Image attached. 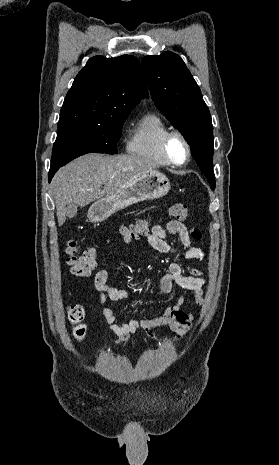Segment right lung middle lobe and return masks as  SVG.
Segmentation results:
<instances>
[{
    "instance_id": "1",
    "label": "right lung middle lobe",
    "mask_w": 279,
    "mask_h": 465,
    "mask_svg": "<svg viewBox=\"0 0 279 465\" xmlns=\"http://www.w3.org/2000/svg\"><path fill=\"white\" fill-rule=\"evenodd\" d=\"M130 112L113 111L101 123H76L58 127L51 167H61L87 153L116 154V142Z\"/></svg>"
}]
</instances>
